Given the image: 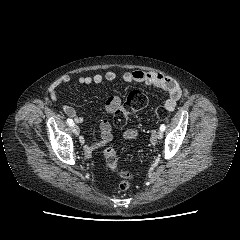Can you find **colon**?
<instances>
[{
  "label": "colon",
  "instance_id": "5ec220e1",
  "mask_svg": "<svg viewBox=\"0 0 240 240\" xmlns=\"http://www.w3.org/2000/svg\"><path fill=\"white\" fill-rule=\"evenodd\" d=\"M148 99L145 93L140 90H134L129 93L124 104L114 113V124L117 127H122L126 124L128 116L131 112L141 110L147 105ZM154 116L157 119L164 120L168 117L169 111L164 106H159L154 109ZM104 158L106 164L111 169L117 167V154L113 147H107L104 150ZM121 181L119 188L123 191L131 187L134 179V174L127 170L120 171Z\"/></svg>",
  "mask_w": 240,
  "mask_h": 240
}]
</instances>
